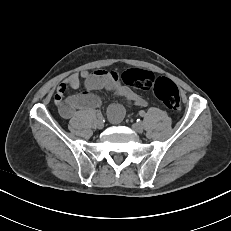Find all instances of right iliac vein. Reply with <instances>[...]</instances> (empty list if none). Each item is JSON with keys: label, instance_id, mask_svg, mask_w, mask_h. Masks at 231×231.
Listing matches in <instances>:
<instances>
[{"label": "right iliac vein", "instance_id": "right-iliac-vein-1", "mask_svg": "<svg viewBox=\"0 0 231 231\" xmlns=\"http://www.w3.org/2000/svg\"><path fill=\"white\" fill-rule=\"evenodd\" d=\"M96 126L98 129H102L104 127V123H103L102 119H98L96 121Z\"/></svg>", "mask_w": 231, "mask_h": 231}]
</instances>
